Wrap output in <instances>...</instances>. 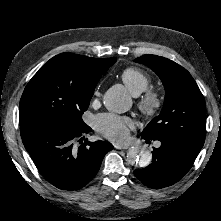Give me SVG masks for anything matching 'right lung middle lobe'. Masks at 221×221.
Listing matches in <instances>:
<instances>
[{"label": "right lung middle lobe", "instance_id": "obj_1", "mask_svg": "<svg viewBox=\"0 0 221 221\" xmlns=\"http://www.w3.org/2000/svg\"><path fill=\"white\" fill-rule=\"evenodd\" d=\"M109 58L104 72L116 62ZM95 86L62 81L47 71H38L24 89L20 100V126L25 124H67L75 128L86 124L81 119Z\"/></svg>", "mask_w": 221, "mask_h": 221}]
</instances>
